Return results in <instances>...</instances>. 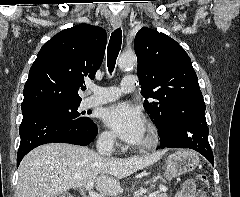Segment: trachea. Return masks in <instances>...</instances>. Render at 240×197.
<instances>
[{
	"mask_svg": "<svg viewBox=\"0 0 240 197\" xmlns=\"http://www.w3.org/2000/svg\"><path fill=\"white\" fill-rule=\"evenodd\" d=\"M122 44V31L120 28L114 30L111 34L110 41L107 48V65L108 71L113 72L116 64V59L121 49Z\"/></svg>",
	"mask_w": 240,
	"mask_h": 197,
	"instance_id": "obj_1",
	"label": "trachea"
}]
</instances>
